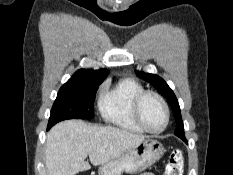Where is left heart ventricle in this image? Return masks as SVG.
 Masks as SVG:
<instances>
[{
    "label": "left heart ventricle",
    "instance_id": "obj_1",
    "mask_svg": "<svg viewBox=\"0 0 233 175\" xmlns=\"http://www.w3.org/2000/svg\"><path fill=\"white\" fill-rule=\"evenodd\" d=\"M141 117L144 123L153 130L160 129L165 122V113L160 102L152 96L144 99L141 105Z\"/></svg>",
    "mask_w": 233,
    "mask_h": 175
}]
</instances>
